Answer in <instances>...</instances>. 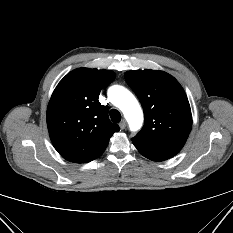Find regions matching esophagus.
Listing matches in <instances>:
<instances>
[{
    "label": "esophagus",
    "mask_w": 233,
    "mask_h": 233,
    "mask_svg": "<svg viewBox=\"0 0 233 233\" xmlns=\"http://www.w3.org/2000/svg\"><path fill=\"white\" fill-rule=\"evenodd\" d=\"M119 127L123 130V129L126 127V121H125V120H122V121L119 123Z\"/></svg>",
    "instance_id": "obj_1"
}]
</instances>
